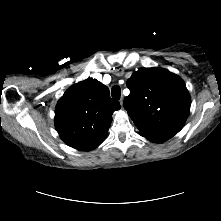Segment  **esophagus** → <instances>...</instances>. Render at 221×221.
Returning <instances> with one entry per match:
<instances>
[{
    "label": "esophagus",
    "instance_id": "esophagus-1",
    "mask_svg": "<svg viewBox=\"0 0 221 221\" xmlns=\"http://www.w3.org/2000/svg\"><path fill=\"white\" fill-rule=\"evenodd\" d=\"M120 105L123 106V97L120 98Z\"/></svg>",
    "mask_w": 221,
    "mask_h": 221
}]
</instances>
